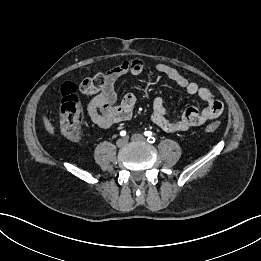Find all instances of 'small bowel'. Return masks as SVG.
Segmentation results:
<instances>
[{"label":"small bowel","instance_id":"c3829d8e","mask_svg":"<svg viewBox=\"0 0 261 261\" xmlns=\"http://www.w3.org/2000/svg\"><path fill=\"white\" fill-rule=\"evenodd\" d=\"M143 69L144 65L141 60H126L104 74L105 85L101 90L89 92L81 84L80 89L82 92L94 94L87 105V113L92 123L100 128H109L130 118L137 98L134 93L129 92L118 102L115 82L126 73L139 75ZM154 69L157 73L163 74L175 82L189 95L198 96L206 103L205 108L201 111L195 107H190L183 113L180 119L170 120L167 118L164 99L161 96H157L153 100V113L151 115V121L156 126L166 132L180 133L220 116L223 111V103L216 99L208 88L199 86L196 82L188 79L176 68L169 65L160 63Z\"/></svg>","mask_w":261,"mask_h":261}]
</instances>
